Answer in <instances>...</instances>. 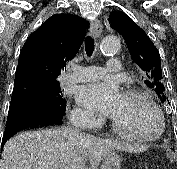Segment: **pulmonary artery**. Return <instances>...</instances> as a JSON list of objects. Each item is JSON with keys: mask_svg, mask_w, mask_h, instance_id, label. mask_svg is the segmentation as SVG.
I'll return each instance as SVG.
<instances>
[{"mask_svg": "<svg viewBox=\"0 0 177 169\" xmlns=\"http://www.w3.org/2000/svg\"><path fill=\"white\" fill-rule=\"evenodd\" d=\"M108 71L111 73L119 72L121 61L117 57H109L107 61ZM71 73L63 77L64 83H79L95 81L105 75V71L99 66H70Z\"/></svg>", "mask_w": 177, "mask_h": 169, "instance_id": "1", "label": "pulmonary artery"}]
</instances>
